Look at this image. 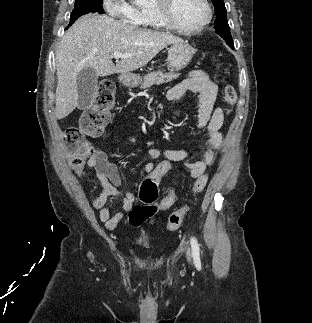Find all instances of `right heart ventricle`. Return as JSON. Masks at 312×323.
Returning <instances> with one entry per match:
<instances>
[{"label": "right heart ventricle", "instance_id": "1", "mask_svg": "<svg viewBox=\"0 0 312 323\" xmlns=\"http://www.w3.org/2000/svg\"><path fill=\"white\" fill-rule=\"evenodd\" d=\"M137 25H156L157 29H166L164 18H159L158 9H135Z\"/></svg>", "mask_w": 312, "mask_h": 323}]
</instances>
